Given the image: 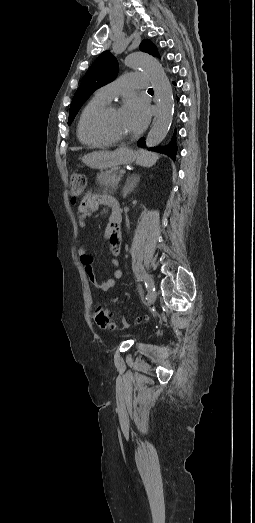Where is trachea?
Returning <instances> with one entry per match:
<instances>
[{
    "instance_id": "1",
    "label": "trachea",
    "mask_w": 255,
    "mask_h": 523,
    "mask_svg": "<svg viewBox=\"0 0 255 523\" xmlns=\"http://www.w3.org/2000/svg\"><path fill=\"white\" fill-rule=\"evenodd\" d=\"M148 92H153V88H149V89H148Z\"/></svg>"
}]
</instances>
